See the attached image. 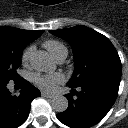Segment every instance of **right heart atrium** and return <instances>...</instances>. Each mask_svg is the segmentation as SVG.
<instances>
[{
  "label": "right heart atrium",
  "instance_id": "1",
  "mask_svg": "<svg viewBox=\"0 0 128 128\" xmlns=\"http://www.w3.org/2000/svg\"><path fill=\"white\" fill-rule=\"evenodd\" d=\"M34 50H35V47L33 45H30L27 48H25L21 56V61L23 65L25 66L29 65L32 55L34 53Z\"/></svg>",
  "mask_w": 128,
  "mask_h": 128
}]
</instances>
